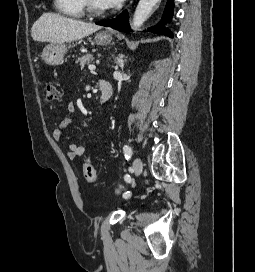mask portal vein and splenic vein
<instances>
[{
    "instance_id": "18ae733b",
    "label": "portal vein and splenic vein",
    "mask_w": 255,
    "mask_h": 272,
    "mask_svg": "<svg viewBox=\"0 0 255 272\" xmlns=\"http://www.w3.org/2000/svg\"><path fill=\"white\" fill-rule=\"evenodd\" d=\"M88 69H89L90 71H94V70L96 69V66H95V65H89V66H88Z\"/></svg>"
}]
</instances>
